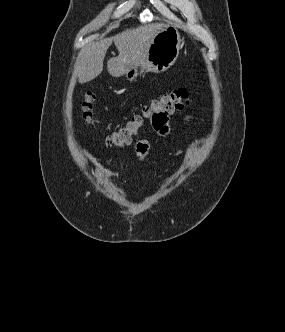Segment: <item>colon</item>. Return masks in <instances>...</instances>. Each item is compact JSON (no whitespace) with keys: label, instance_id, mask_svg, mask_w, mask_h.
Instances as JSON below:
<instances>
[{"label":"colon","instance_id":"5ec220e1","mask_svg":"<svg viewBox=\"0 0 285 332\" xmlns=\"http://www.w3.org/2000/svg\"><path fill=\"white\" fill-rule=\"evenodd\" d=\"M190 90L186 88L177 89L163 94L146 105L140 114L133 116L125 124L111 132L106 137V144L109 147H124L131 143L148 122V115L152 111H170L171 115L183 109L189 102ZM95 95L88 92L82 103L83 119L90 123L93 119V104ZM154 127V126H153Z\"/></svg>","mask_w":285,"mask_h":332}]
</instances>
